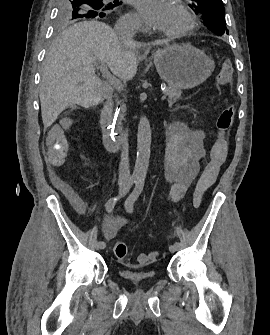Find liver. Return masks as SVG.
<instances>
[{"label":"liver","mask_w":270,"mask_h":335,"mask_svg":"<svg viewBox=\"0 0 270 335\" xmlns=\"http://www.w3.org/2000/svg\"><path fill=\"white\" fill-rule=\"evenodd\" d=\"M160 44H166V40L151 44L119 40L113 28L97 20L78 22L60 32L44 60L40 86L44 126H51L72 104L89 106L97 100L102 82L95 76V60L106 64L114 76L128 82L137 72L135 50Z\"/></svg>","instance_id":"6515ba94"}]
</instances>
